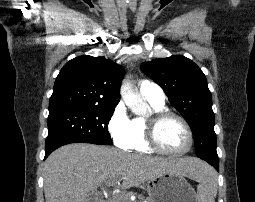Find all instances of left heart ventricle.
<instances>
[{"mask_svg":"<svg viewBox=\"0 0 255 202\" xmlns=\"http://www.w3.org/2000/svg\"><path fill=\"white\" fill-rule=\"evenodd\" d=\"M158 140L164 149L178 152L187 147L188 135L184 126L178 120L171 118L159 126Z\"/></svg>","mask_w":255,"mask_h":202,"instance_id":"1","label":"left heart ventricle"}]
</instances>
